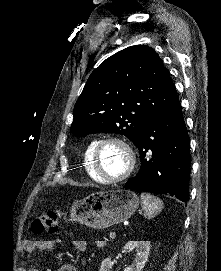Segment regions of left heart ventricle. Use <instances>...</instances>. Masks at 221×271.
I'll return each mask as SVG.
<instances>
[{"label":"left heart ventricle","instance_id":"obj_1","mask_svg":"<svg viewBox=\"0 0 221 271\" xmlns=\"http://www.w3.org/2000/svg\"><path fill=\"white\" fill-rule=\"evenodd\" d=\"M101 158H99L98 163L103 166L106 175H111L112 177H121L122 169H126L124 161V152H120V147H116L115 144H108L107 147H101Z\"/></svg>","mask_w":221,"mask_h":271}]
</instances>
